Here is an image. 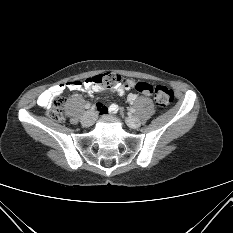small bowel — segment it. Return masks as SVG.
<instances>
[{
    "label": "small bowel",
    "instance_id": "1",
    "mask_svg": "<svg viewBox=\"0 0 233 233\" xmlns=\"http://www.w3.org/2000/svg\"><path fill=\"white\" fill-rule=\"evenodd\" d=\"M133 82L128 81V86L119 84L110 88L112 92H115L119 95L124 94L125 90L132 87ZM65 89L76 90V91H85L88 95L92 96L94 93L101 92L104 90V87L92 85L91 80H86L85 82L80 81H70L63 84L53 86L45 91H43L37 99V104L41 107H49L52 102L53 96L62 93ZM137 98V95L130 93L128 95V101L130 103L134 102ZM97 110L101 115L111 113L116 114L119 111V106L117 104H111L110 106H105L102 103L97 105Z\"/></svg>",
    "mask_w": 233,
    "mask_h": 233
}]
</instances>
